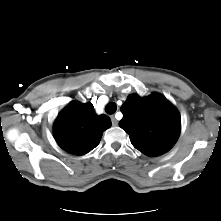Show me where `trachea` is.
I'll use <instances>...</instances> for the list:
<instances>
[{
	"instance_id": "3493384b",
	"label": "trachea",
	"mask_w": 221,
	"mask_h": 221,
	"mask_svg": "<svg viewBox=\"0 0 221 221\" xmlns=\"http://www.w3.org/2000/svg\"><path fill=\"white\" fill-rule=\"evenodd\" d=\"M117 110V106H116V103L114 102H110L108 103L106 106H105V112L107 114H114Z\"/></svg>"
}]
</instances>
